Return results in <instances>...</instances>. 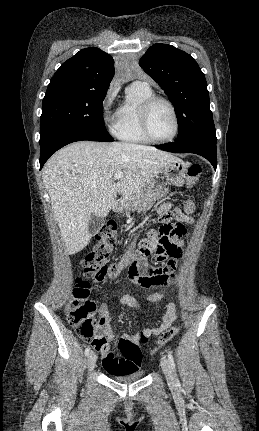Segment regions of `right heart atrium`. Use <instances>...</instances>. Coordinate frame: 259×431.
<instances>
[{"label":"right heart atrium","instance_id":"1","mask_svg":"<svg viewBox=\"0 0 259 431\" xmlns=\"http://www.w3.org/2000/svg\"><path fill=\"white\" fill-rule=\"evenodd\" d=\"M117 92V86H110L102 102V117L110 129L115 128L119 117V111L113 107Z\"/></svg>","mask_w":259,"mask_h":431}]
</instances>
